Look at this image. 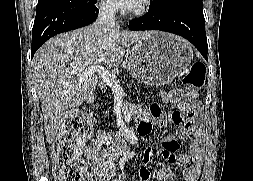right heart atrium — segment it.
Segmentation results:
<instances>
[{
  "mask_svg": "<svg viewBox=\"0 0 253 181\" xmlns=\"http://www.w3.org/2000/svg\"><path fill=\"white\" fill-rule=\"evenodd\" d=\"M100 10L106 14H114L116 7L113 0H100L99 2Z\"/></svg>",
  "mask_w": 253,
  "mask_h": 181,
  "instance_id": "1",
  "label": "right heart atrium"
}]
</instances>
